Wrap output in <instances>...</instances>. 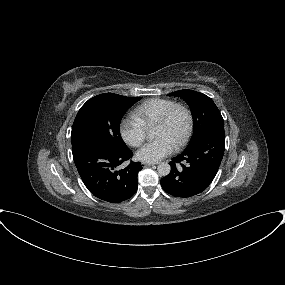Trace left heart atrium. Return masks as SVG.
Returning <instances> with one entry per match:
<instances>
[{"label": "left heart atrium", "mask_w": 285, "mask_h": 285, "mask_svg": "<svg viewBox=\"0 0 285 285\" xmlns=\"http://www.w3.org/2000/svg\"><path fill=\"white\" fill-rule=\"evenodd\" d=\"M176 145L167 137L162 136L146 143L138 152L137 159L146 163H155L175 150Z\"/></svg>", "instance_id": "obj_1"}]
</instances>
